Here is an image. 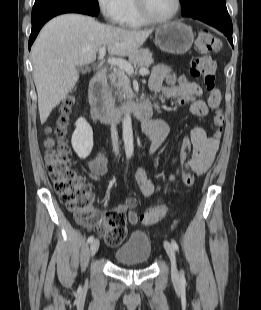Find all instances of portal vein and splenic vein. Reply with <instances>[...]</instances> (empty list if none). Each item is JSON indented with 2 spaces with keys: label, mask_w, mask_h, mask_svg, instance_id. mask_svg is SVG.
I'll return each mask as SVG.
<instances>
[{
  "label": "portal vein and splenic vein",
  "mask_w": 261,
  "mask_h": 310,
  "mask_svg": "<svg viewBox=\"0 0 261 310\" xmlns=\"http://www.w3.org/2000/svg\"><path fill=\"white\" fill-rule=\"evenodd\" d=\"M106 54V48L105 46L101 47L99 49V59H103L104 56ZM108 64L110 65H114L119 67L120 69H123L124 71L133 74L134 73V68L131 65V63H129L128 61L124 60V59H119V58H109L108 59ZM139 74L142 76L148 75L149 74V70L147 68H141L139 70Z\"/></svg>",
  "instance_id": "portal-vein-and-splenic-vein-1"
}]
</instances>
